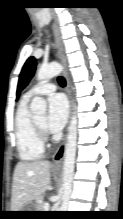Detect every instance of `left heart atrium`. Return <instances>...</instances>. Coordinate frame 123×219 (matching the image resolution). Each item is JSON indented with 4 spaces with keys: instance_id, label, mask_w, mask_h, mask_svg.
Instances as JSON below:
<instances>
[{
    "instance_id": "1",
    "label": "left heart atrium",
    "mask_w": 123,
    "mask_h": 219,
    "mask_svg": "<svg viewBox=\"0 0 123 219\" xmlns=\"http://www.w3.org/2000/svg\"><path fill=\"white\" fill-rule=\"evenodd\" d=\"M68 117V104L62 94H54L48 99L47 128L51 132L60 131Z\"/></svg>"
}]
</instances>
